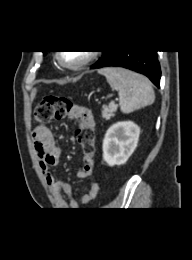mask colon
<instances>
[{"mask_svg": "<svg viewBox=\"0 0 192 260\" xmlns=\"http://www.w3.org/2000/svg\"><path fill=\"white\" fill-rule=\"evenodd\" d=\"M77 117L79 127L76 136L83 148V159H93L95 131L90 123V111L62 96H46L34 109L33 121L44 124L52 119Z\"/></svg>", "mask_w": 192, "mask_h": 260, "instance_id": "1", "label": "colon"}]
</instances>
